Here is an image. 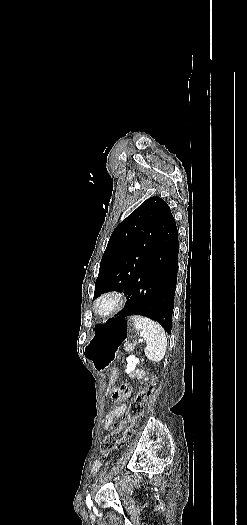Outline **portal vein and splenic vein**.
<instances>
[{
	"label": "portal vein and splenic vein",
	"instance_id": "obj_1",
	"mask_svg": "<svg viewBox=\"0 0 247 525\" xmlns=\"http://www.w3.org/2000/svg\"><path fill=\"white\" fill-rule=\"evenodd\" d=\"M138 338H139L140 343H143L144 341L143 335H138Z\"/></svg>",
	"mask_w": 247,
	"mask_h": 525
}]
</instances>
